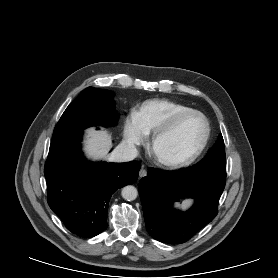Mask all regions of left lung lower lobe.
<instances>
[{"mask_svg": "<svg viewBox=\"0 0 278 278\" xmlns=\"http://www.w3.org/2000/svg\"><path fill=\"white\" fill-rule=\"evenodd\" d=\"M225 183L226 175L193 167L150 168L139 184L147 232L166 244L186 242L217 215ZM186 195L195 200L192 208L186 212L173 209V203Z\"/></svg>", "mask_w": 278, "mask_h": 278, "instance_id": "obj_1", "label": "left lung lower lobe"}]
</instances>
